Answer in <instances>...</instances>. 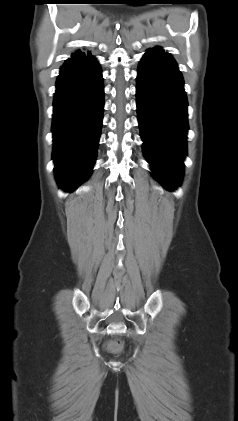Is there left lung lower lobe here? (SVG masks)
<instances>
[{
  "instance_id": "0a47b994",
  "label": "left lung lower lobe",
  "mask_w": 238,
  "mask_h": 421,
  "mask_svg": "<svg viewBox=\"0 0 238 421\" xmlns=\"http://www.w3.org/2000/svg\"><path fill=\"white\" fill-rule=\"evenodd\" d=\"M171 55L160 47L143 56L136 98L143 153L156 179L170 190L180 184L186 156L187 98Z\"/></svg>"
}]
</instances>
